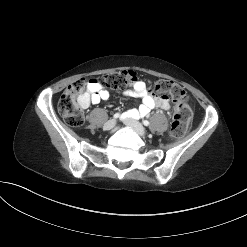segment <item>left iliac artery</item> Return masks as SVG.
<instances>
[{
	"instance_id": "1",
	"label": "left iliac artery",
	"mask_w": 247,
	"mask_h": 247,
	"mask_svg": "<svg viewBox=\"0 0 247 247\" xmlns=\"http://www.w3.org/2000/svg\"><path fill=\"white\" fill-rule=\"evenodd\" d=\"M143 124H144L145 126H148L150 123H149L148 120H144V121H143Z\"/></svg>"
}]
</instances>
